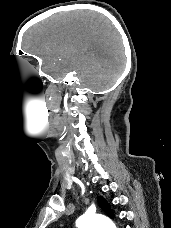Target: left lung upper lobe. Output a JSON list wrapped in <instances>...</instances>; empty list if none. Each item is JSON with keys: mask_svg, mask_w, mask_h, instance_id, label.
Returning a JSON list of instances; mask_svg holds the SVG:
<instances>
[{"mask_svg": "<svg viewBox=\"0 0 171 228\" xmlns=\"http://www.w3.org/2000/svg\"><path fill=\"white\" fill-rule=\"evenodd\" d=\"M98 202H99V205L101 206L102 210L105 213H107L109 217L113 218L114 214H113L112 210L110 209V205L106 202V200L102 196L98 197Z\"/></svg>", "mask_w": 171, "mask_h": 228, "instance_id": "5c2ea615", "label": "left lung upper lobe"}]
</instances>
